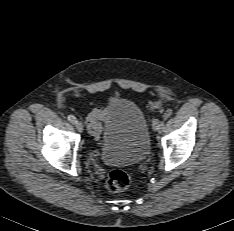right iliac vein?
Here are the masks:
<instances>
[{
	"label": "right iliac vein",
	"mask_w": 234,
	"mask_h": 231,
	"mask_svg": "<svg viewBox=\"0 0 234 231\" xmlns=\"http://www.w3.org/2000/svg\"><path fill=\"white\" fill-rule=\"evenodd\" d=\"M75 127H76V129H77L79 132H82V131H83V125H82L81 122L77 121V122L75 123Z\"/></svg>",
	"instance_id": "obj_1"
}]
</instances>
